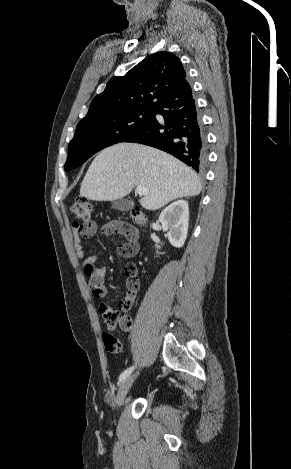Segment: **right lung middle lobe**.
I'll list each match as a JSON object with an SVG mask.
<instances>
[{
  "mask_svg": "<svg viewBox=\"0 0 291 469\" xmlns=\"http://www.w3.org/2000/svg\"><path fill=\"white\" fill-rule=\"evenodd\" d=\"M152 116L153 110L135 109L105 118L80 121L69 144L65 171L78 167L103 148L123 142L148 123Z\"/></svg>",
  "mask_w": 291,
  "mask_h": 469,
  "instance_id": "right-lung-middle-lobe-1",
  "label": "right lung middle lobe"
}]
</instances>
